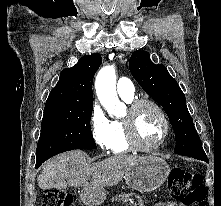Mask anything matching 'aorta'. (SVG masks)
I'll return each instance as SVG.
<instances>
[{
    "instance_id": "762f6f07",
    "label": "aorta",
    "mask_w": 221,
    "mask_h": 206,
    "mask_svg": "<svg viewBox=\"0 0 221 206\" xmlns=\"http://www.w3.org/2000/svg\"><path fill=\"white\" fill-rule=\"evenodd\" d=\"M95 89L101 105L111 117L118 116L125 110L124 104L117 96L116 73L113 66H105L98 72Z\"/></svg>"
}]
</instances>
